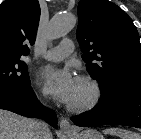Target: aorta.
<instances>
[{
    "label": "aorta",
    "mask_w": 141,
    "mask_h": 139,
    "mask_svg": "<svg viewBox=\"0 0 141 139\" xmlns=\"http://www.w3.org/2000/svg\"><path fill=\"white\" fill-rule=\"evenodd\" d=\"M75 22V16L71 14H56L48 26V39L54 40L64 37L74 28Z\"/></svg>",
    "instance_id": "obj_1"
}]
</instances>
